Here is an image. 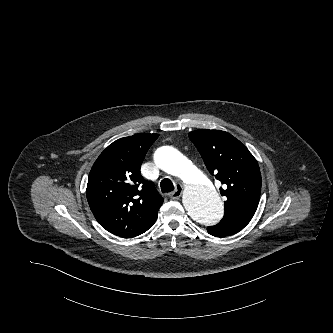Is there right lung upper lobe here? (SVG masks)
Returning a JSON list of instances; mask_svg holds the SVG:
<instances>
[{"mask_svg":"<svg viewBox=\"0 0 333 333\" xmlns=\"http://www.w3.org/2000/svg\"><path fill=\"white\" fill-rule=\"evenodd\" d=\"M158 134L139 133L116 140L95 161L86 195L96 220L124 238L138 236L156 221L163 198L140 168Z\"/></svg>","mask_w":333,"mask_h":333,"instance_id":"obj_1","label":"right lung upper lobe"}]
</instances>
